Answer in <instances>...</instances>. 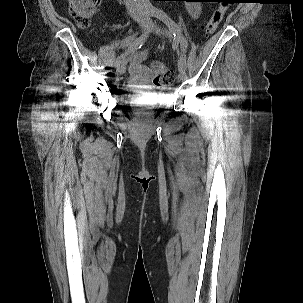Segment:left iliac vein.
I'll return each instance as SVG.
<instances>
[{
  "instance_id": "obj_1",
  "label": "left iliac vein",
  "mask_w": 303,
  "mask_h": 303,
  "mask_svg": "<svg viewBox=\"0 0 303 303\" xmlns=\"http://www.w3.org/2000/svg\"><path fill=\"white\" fill-rule=\"evenodd\" d=\"M150 26H151V30L156 34L169 38L170 41H172V45L174 49L178 48L179 40L173 37V32L170 29L169 30L163 29L161 26L157 25L156 23H151ZM185 78H186L185 68L179 66V81H183L185 80Z\"/></svg>"
}]
</instances>
